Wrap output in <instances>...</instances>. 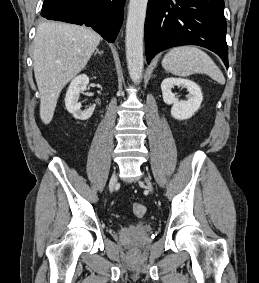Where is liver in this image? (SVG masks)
<instances>
[{"instance_id": "obj_1", "label": "liver", "mask_w": 259, "mask_h": 283, "mask_svg": "<svg viewBox=\"0 0 259 283\" xmlns=\"http://www.w3.org/2000/svg\"><path fill=\"white\" fill-rule=\"evenodd\" d=\"M100 39L85 26L55 21H44L38 26L33 66L44 124L51 122L60 92L86 66Z\"/></svg>"}]
</instances>
